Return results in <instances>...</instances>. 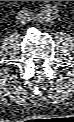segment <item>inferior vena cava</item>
Returning a JSON list of instances; mask_svg holds the SVG:
<instances>
[{"instance_id":"inferior-vena-cava-1","label":"inferior vena cava","mask_w":74,"mask_h":122,"mask_svg":"<svg viewBox=\"0 0 74 122\" xmlns=\"http://www.w3.org/2000/svg\"><path fill=\"white\" fill-rule=\"evenodd\" d=\"M30 15L31 12H29L28 10H22L18 13V19L21 23H25L30 20Z\"/></svg>"}]
</instances>
